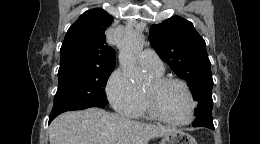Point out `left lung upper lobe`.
Returning <instances> with one entry per match:
<instances>
[{
    "label": "left lung upper lobe",
    "mask_w": 260,
    "mask_h": 144,
    "mask_svg": "<svg viewBox=\"0 0 260 144\" xmlns=\"http://www.w3.org/2000/svg\"><path fill=\"white\" fill-rule=\"evenodd\" d=\"M150 43L174 73L190 84L199 102L193 126L213 129V79L204 39L190 21L173 16L150 27Z\"/></svg>",
    "instance_id": "obj_1"
}]
</instances>
